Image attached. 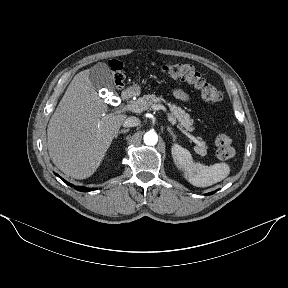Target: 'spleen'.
<instances>
[{
  "mask_svg": "<svg viewBox=\"0 0 288 288\" xmlns=\"http://www.w3.org/2000/svg\"><path fill=\"white\" fill-rule=\"evenodd\" d=\"M175 165L184 171L188 181L197 187H208L225 179L230 173V167L226 163H216L205 166L194 163L190 152L178 144L171 149ZM197 174H194V173Z\"/></svg>",
  "mask_w": 288,
  "mask_h": 288,
  "instance_id": "spleen-1",
  "label": "spleen"
}]
</instances>
